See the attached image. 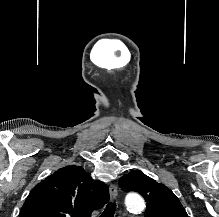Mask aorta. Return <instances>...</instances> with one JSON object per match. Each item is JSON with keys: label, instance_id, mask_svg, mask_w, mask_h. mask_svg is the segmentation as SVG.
I'll return each mask as SVG.
<instances>
[{"label": "aorta", "instance_id": "1", "mask_svg": "<svg viewBox=\"0 0 219 217\" xmlns=\"http://www.w3.org/2000/svg\"><path fill=\"white\" fill-rule=\"evenodd\" d=\"M126 206L132 212H141L145 208V202L140 195H130L126 198Z\"/></svg>", "mask_w": 219, "mask_h": 217}]
</instances>
